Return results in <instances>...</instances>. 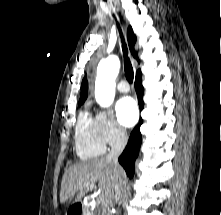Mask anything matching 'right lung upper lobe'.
I'll return each mask as SVG.
<instances>
[{
	"label": "right lung upper lobe",
	"instance_id": "right-lung-upper-lobe-1",
	"mask_svg": "<svg viewBox=\"0 0 221 215\" xmlns=\"http://www.w3.org/2000/svg\"><path fill=\"white\" fill-rule=\"evenodd\" d=\"M127 39H128V44H129V48H130V51H131L132 55L138 60L137 54L134 51L136 36L134 35L131 26H129V28L127 30ZM140 74H141V72H140V70H138L136 76H138ZM87 95H88V82H87L86 77H85L83 79L82 85H81V96H80L79 102H84L87 98Z\"/></svg>",
	"mask_w": 221,
	"mask_h": 215
}]
</instances>
